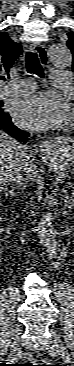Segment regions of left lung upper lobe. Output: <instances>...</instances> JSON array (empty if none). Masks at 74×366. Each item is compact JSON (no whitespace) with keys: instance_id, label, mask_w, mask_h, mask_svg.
<instances>
[{"instance_id":"obj_1","label":"left lung upper lobe","mask_w":74,"mask_h":366,"mask_svg":"<svg viewBox=\"0 0 74 366\" xmlns=\"http://www.w3.org/2000/svg\"><path fill=\"white\" fill-rule=\"evenodd\" d=\"M67 35H68L67 46L73 54L72 71L74 72V32H69L67 33Z\"/></svg>"}]
</instances>
